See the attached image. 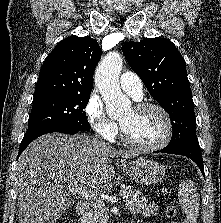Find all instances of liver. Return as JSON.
<instances>
[{
	"instance_id": "liver-1",
	"label": "liver",
	"mask_w": 221,
	"mask_h": 223,
	"mask_svg": "<svg viewBox=\"0 0 221 223\" xmlns=\"http://www.w3.org/2000/svg\"><path fill=\"white\" fill-rule=\"evenodd\" d=\"M135 153L118 150L86 134L52 133L33 141L15 170L19 223H56L74 200L65 190H102L114 177L111 158Z\"/></svg>"
}]
</instances>
